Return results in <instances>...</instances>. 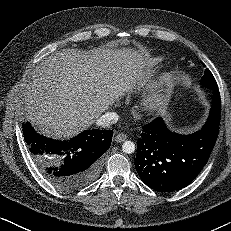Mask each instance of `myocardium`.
I'll return each instance as SVG.
<instances>
[{"mask_svg":"<svg viewBox=\"0 0 231 231\" xmlns=\"http://www.w3.org/2000/svg\"><path fill=\"white\" fill-rule=\"evenodd\" d=\"M169 85L170 75L164 73L143 99V109L147 113L156 114L165 107Z\"/></svg>","mask_w":231,"mask_h":231,"instance_id":"obj_1","label":"myocardium"}]
</instances>
